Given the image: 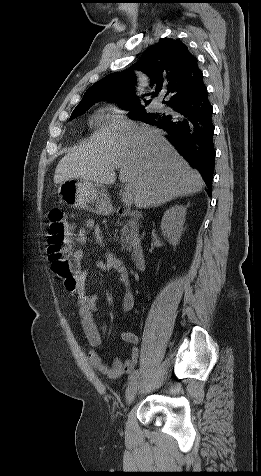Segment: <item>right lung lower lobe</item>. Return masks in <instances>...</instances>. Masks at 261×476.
Here are the masks:
<instances>
[{
	"label": "right lung lower lobe",
	"instance_id": "1",
	"mask_svg": "<svg viewBox=\"0 0 261 476\" xmlns=\"http://www.w3.org/2000/svg\"><path fill=\"white\" fill-rule=\"evenodd\" d=\"M175 113L149 124L168 133L167 139L197 169L208 187L212 186L215 165L212 106L204 85L187 100L174 104Z\"/></svg>",
	"mask_w": 261,
	"mask_h": 476
}]
</instances>
